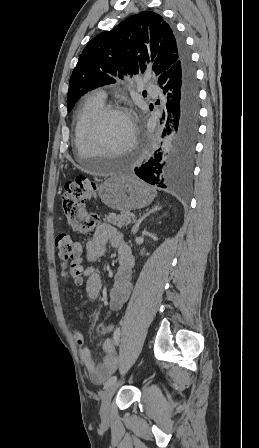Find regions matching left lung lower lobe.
Listing matches in <instances>:
<instances>
[{
    "mask_svg": "<svg viewBox=\"0 0 259 448\" xmlns=\"http://www.w3.org/2000/svg\"><path fill=\"white\" fill-rule=\"evenodd\" d=\"M181 45V57L159 77V85L167 96V112L163 113L165 127L162 152L140 168L136 175L142 180L170 191L186 188L192 175L195 140L198 131L199 97L195 71L184 40L177 36ZM161 150V148L159 149Z\"/></svg>",
    "mask_w": 259,
    "mask_h": 448,
    "instance_id": "1",
    "label": "left lung lower lobe"
}]
</instances>
